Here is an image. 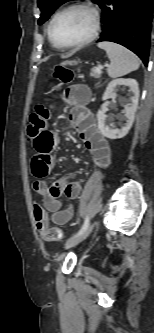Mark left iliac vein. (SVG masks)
<instances>
[{
  "label": "left iliac vein",
  "instance_id": "obj_1",
  "mask_svg": "<svg viewBox=\"0 0 154 333\" xmlns=\"http://www.w3.org/2000/svg\"><path fill=\"white\" fill-rule=\"evenodd\" d=\"M95 222H93L92 224H90L88 226V228L81 234L71 238L70 240H68L65 244V248L68 249V248H71L77 244H79L80 242H82L83 240H85L89 235L90 233L92 232L94 226H95Z\"/></svg>",
  "mask_w": 154,
  "mask_h": 333
}]
</instances>
